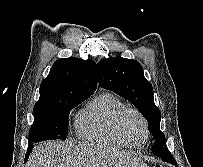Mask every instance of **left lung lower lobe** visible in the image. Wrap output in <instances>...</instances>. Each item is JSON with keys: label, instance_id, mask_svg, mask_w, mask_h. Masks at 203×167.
<instances>
[{"label": "left lung lower lobe", "instance_id": "obj_1", "mask_svg": "<svg viewBox=\"0 0 203 167\" xmlns=\"http://www.w3.org/2000/svg\"><path fill=\"white\" fill-rule=\"evenodd\" d=\"M153 154L160 157L164 161H171L172 160V155L170 154L167 146L162 145V146H155L153 150Z\"/></svg>", "mask_w": 203, "mask_h": 167}]
</instances>
